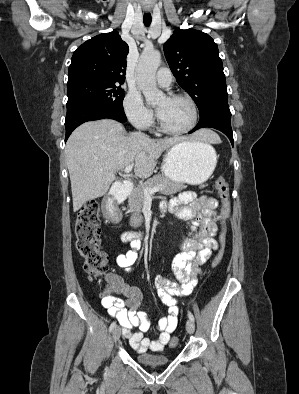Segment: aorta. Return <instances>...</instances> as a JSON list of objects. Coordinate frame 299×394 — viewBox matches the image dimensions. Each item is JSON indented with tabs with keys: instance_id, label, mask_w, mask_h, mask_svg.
<instances>
[{
	"instance_id": "obj_1",
	"label": "aorta",
	"mask_w": 299,
	"mask_h": 394,
	"mask_svg": "<svg viewBox=\"0 0 299 394\" xmlns=\"http://www.w3.org/2000/svg\"><path fill=\"white\" fill-rule=\"evenodd\" d=\"M161 63L159 51L143 52L136 68L137 84L147 102H155L163 97L156 86L155 74Z\"/></svg>"
}]
</instances>
